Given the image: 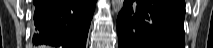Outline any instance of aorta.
<instances>
[{
	"label": "aorta",
	"instance_id": "1",
	"mask_svg": "<svg viewBox=\"0 0 213 48\" xmlns=\"http://www.w3.org/2000/svg\"><path fill=\"white\" fill-rule=\"evenodd\" d=\"M112 12L119 13L124 5V0H111Z\"/></svg>",
	"mask_w": 213,
	"mask_h": 48
}]
</instances>
